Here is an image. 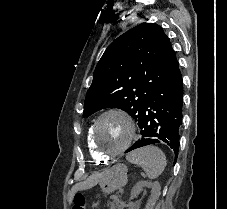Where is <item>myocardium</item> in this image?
I'll list each match as a JSON object with an SVG mask.
<instances>
[{
	"label": "myocardium",
	"mask_w": 227,
	"mask_h": 209,
	"mask_svg": "<svg viewBox=\"0 0 227 209\" xmlns=\"http://www.w3.org/2000/svg\"><path fill=\"white\" fill-rule=\"evenodd\" d=\"M109 114H119L122 117H124L128 121V123L131 127V134H130L128 141L121 148H119L116 151L105 152L98 145V142H97V139H96V131H97V127H98L100 121L105 116H107ZM136 134H137V128H136V125H135L133 119L131 118V116L126 111L119 109V108H110V109H107L106 111L102 112L93 121L92 126H91V141H92V144H93L97 154L103 159L115 158V157L119 156L120 154H122L126 150V148L130 145L132 139L136 136Z\"/></svg>",
	"instance_id": "obj_1"
}]
</instances>
